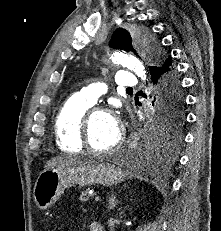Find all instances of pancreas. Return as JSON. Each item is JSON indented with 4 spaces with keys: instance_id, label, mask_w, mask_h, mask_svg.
I'll return each instance as SVG.
<instances>
[{
    "instance_id": "cf45deb5",
    "label": "pancreas",
    "mask_w": 221,
    "mask_h": 231,
    "mask_svg": "<svg viewBox=\"0 0 221 231\" xmlns=\"http://www.w3.org/2000/svg\"><path fill=\"white\" fill-rule=\"evenodd\" d=\"M88 189L87 190H84L81 192V195L79 197V200L81 201H87L88 200Z\"/></svg>"
}]
</instances>
